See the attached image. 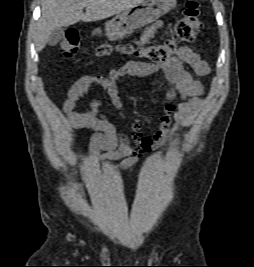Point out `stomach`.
Wrapping results in <instances>:
<instances>
[{"label": "stomach", "mask_w": 254, "mask_h": 267, "mask_svg": "<svg viewBox=\"0 0 254 267\" xmlns=\"http://www.w3.org/2000/svg\"><path fill=\"white\" fill-rule=\"evenodd\" d=\"M177 0H144L105 23L109 40H121L134 30L144 27L175 8Z\"/></svg>", "instance_id": "1"}]
</instances>
